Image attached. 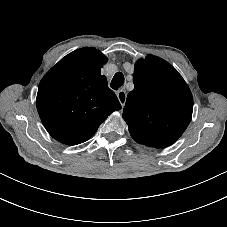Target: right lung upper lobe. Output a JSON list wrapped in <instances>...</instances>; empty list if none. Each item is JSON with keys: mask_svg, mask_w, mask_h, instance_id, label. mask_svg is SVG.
<instances>
[{"mask_svg": "<svg viewBox=\"0 0 227 227\" xmlns=\"http://www.w3.org/2000/svg\"><path fill=\"white\" fill-rule=\"evenodd\" d=\"M107 58L93 47L71 52L43 77L37 110L49 134L76 145L90 139L99 125L121 105L100 69Z\"/></svg>", "mask_w": 227, "mask_h": 227, "instance_id": "cb5924a9", "label": "right lung upper lobe"}]
</instances>
